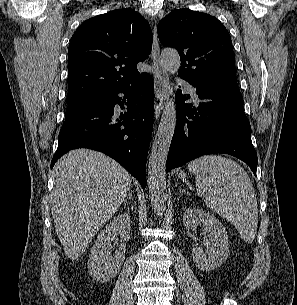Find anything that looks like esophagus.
<instances>
[{
  "label": "esophagus",
  "mask_w": 297,
  "mask_h": 305,
  "mask_svg": "<svg viewBox=\"0 0 297 305\" xmlns=\"http://www.w3.org/2000/svg\"><path fill=\"white\" fill-rule=\"evenodd\" d=\"M153 64L155 68V102H154V113L156 120L159 119L161 111L165 105L166 100L170 95V84L169 76L165 70L162 60L160 57V47L158 42L156 25L153 28Z\"/></svg>",
  "instance_id": "obj_1"
}]
</instances>
